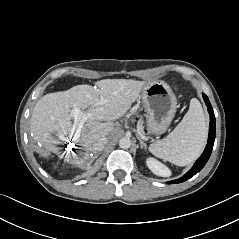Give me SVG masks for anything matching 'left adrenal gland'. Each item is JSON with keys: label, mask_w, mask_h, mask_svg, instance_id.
<instances>
[{"label": "left adrenal gland", "mask_w": 239, "mask_h": 239, "mask_svg": "<svg viewBox=\"0 0 239 239\" xmlns=\"http://www.w3.org/2000/svg\"><path fill=\"white\" fill-rule=\"evenodd\" d=\"M137 138H138V140L140 141V146H141V148H142V149H143V148L147 149V145H146V143L142 140V138H141L139 135H137Z\"/></svg>", "instance_id": "obj_1"}]
</instances>
